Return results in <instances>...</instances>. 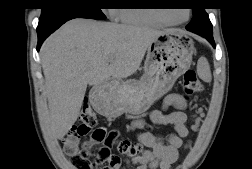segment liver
Listing matches in <instances>:
<instances>
[{"instance_id":"6515ba94","label":"liver","mask_w":252,"mask_h":169,"mask_svg":"<svg viewBox=\"0 0 252 169\" xmlns=\"http://www.w3.org/2000/svg\"><path fill=\"white\" fill-rule=\"evenodd\" d=\"M167 31L77 18L48 37L40 50L48 98V129L63 138L77 120L87 85L133 75L150 44Z\"/></svg>"}]
</instances>
